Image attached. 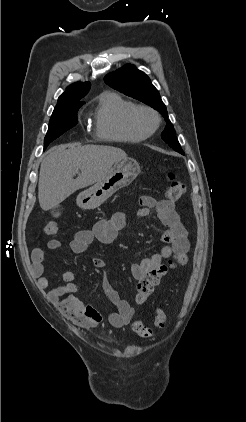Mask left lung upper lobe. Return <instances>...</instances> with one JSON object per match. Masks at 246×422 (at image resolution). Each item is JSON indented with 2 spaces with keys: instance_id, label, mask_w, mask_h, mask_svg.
Returning <instances> with one entry per match:
<instances>
[{
  "instance_id": "5c2ea615",
  "label": "left lung upper lobe",
  "mask_w": 246,
  "mask_h": 422,
  "mask_svg": "<svg viewBox=\"0 0 246 422\" xmlns=\"http://www.w3.org/2000/svg\"><path fill=\"white\" fill-rule=\"evenodd\" d=\"M105 82L121 93L153 107L163 115L165 120H168L166 106L162 102L158 90L152 85L149 77L135 66L127 64L121 69L109 73L105 76ZM161 137L175 151L184 154L176 138L175 129L169 120Z\"/></svg>"
}]
</instances>
